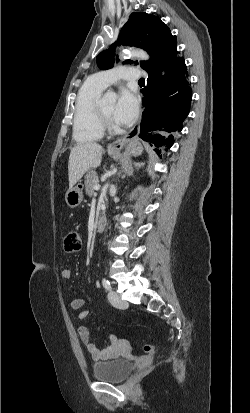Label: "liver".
<instances>
[{
    "label": "liver",
    "mask_w": 250,
    "mask_h": 413,
    "mask_svg": "<svg viewBox=\"0 0 250 413\" xmlns=\"http://www.w3.org/2000/svg\"><path fill=\"white\" fill-rule=\"evenodd\" d=\"M103 147L96 142H85L71 149L68 162L69 188H72L91 168L101 164Z\"/></svg>",
    "instance_id": "obj_1"
}]
</instances>
